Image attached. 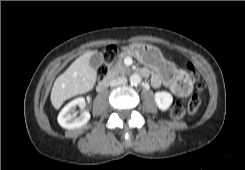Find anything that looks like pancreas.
<instances>
[{"mask_svg": "<svg viewBox=\"0 0 245 170\" xmlns=\"http://www.w3.org/2000/svg\"><path fill=\"white\" fill-rule=\"evenodd\" d=\"M126 56H128L127 52L119 54L116 62L109 67V72L107 74L108 79H111L119 75H125L128 72L129 68L125 66L123 63V60Z\"/></svg>", "mask_w": 245, "mask_h": 170, "instance_id": "pancreas-1", "label": "pancreas"}]
</instances>
